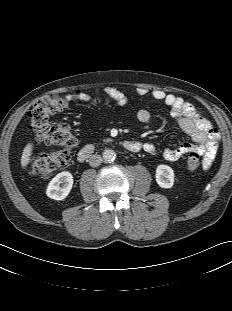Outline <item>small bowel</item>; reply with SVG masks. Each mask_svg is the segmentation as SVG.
Masks as SVG:
<instances>
[{"label": "small bowel", "instance_id": "c3829d8e", "mask_svg": "<svg viewBox=\"0 0 232 311\" xmlns=\"http://www.w3.org/2000/svg\"><path fill=\"white\" fill-rule=\"evenodd\" d=\"M106 92L113 97L120 106L126 104V96L113 88H107ZM136 92L140 96H151L156 101L165 103L170 108L172 118L178 126L191 138L192 143L183 142L175 148H165L162 152L163 157L169 161L197 154L202 157L203 168L208 169L215 158L219 133L211 123L196 109L191 103L186 102L179 96L167 93L162 89H151L148 87H138ZM72 98V95H67ZM84 100L88 97L84 95ZM151 112L147 109H140L137 112V119L141 123H148L151 120ZM145 152L154 154L156 149L151 143L144 145Z\"/></svg>", "mask_w": 232, "mask_h": 311}]
</instances>
